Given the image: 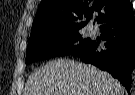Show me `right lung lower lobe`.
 I'll use <instances>...</instances> for the list:
<instances>
[{"label": "right lung lower lobe", "instance_id": "right-lung-lower-lobe-1", "mask_svg": "<svg viewBox=\"0 0 135 95\" xmlns=\"http://www.w3.org/2000/svg\"><path fill=\"white\" fill-rule=\"evenodd\" d=\"M101 28V38L72 54L85 63L93 64L114 78L130 91L131 72L135 68V18L133 13L119 20L106 21ZM100 40L105 41L99 46Z\"/></svg>", "mask_w": 135, "mask_h": 95}]
</instances>
